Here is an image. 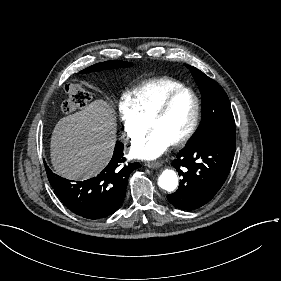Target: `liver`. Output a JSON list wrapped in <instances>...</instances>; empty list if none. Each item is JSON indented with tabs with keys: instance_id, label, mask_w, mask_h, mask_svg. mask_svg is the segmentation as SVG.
Listing matches in <instances>:
<instances>
[{
	"instance_id": "obj_1",
	"label": "liver",
	"mask_w": 281,
	"mask_h": 281,
	"mask_svg": "<svg viewBox=\"0 0 281 281\" xmlns=\"http://www.w3.org/2000/svg\"><path fill=\"white\" fill-rule=\"evenodd\" d=\"M116 139L117 118L111 105L94 100L57 121L50 138L51 164L64 178L89 179L109 164Z\"/></svg>"
}]
</instances>
